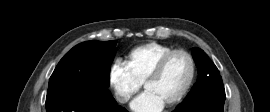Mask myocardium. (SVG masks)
Wrapping results in <instances>:
<instances>
[{
  "label": "myocardium",
  "instance_id": "myocardium-1",
  "mask_svg": "<svg viewBox=\"0 0 270 112\" xmlns=\"http://www.w3.org/2000/svg\"><path fill=\"white\" fill-rule=\"evenodd\" d=\"M176 54H183L188 58L189 63H190V75H189L188 81H187L186 85L184 86V88L182 89V91L173 100H171L169 103H167L166 107H173V106L178 105L180 102H182L185 99V97L188 95V93L190 92V90L195 82L197 68H196L195 59L192 56V54L190 52H188L187 50L181 49V48L173 49V50L167 52L157 61V63L155 64L153 69L150 71V73L147 75V77L143 83V87L145 88L147 84L155 81L161 75L168 60Z\"/></svg>",
  "mask_w": 270,
  "mask_h": 112
}]
</instances>
